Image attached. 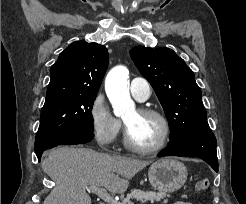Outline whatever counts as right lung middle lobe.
Returning <instances> with one entry per match:
<instances>
[{
  "label": "right lung middle lobe",
  "mask_w": 246,
  "mask_h": 204,
  "mask_svg": "<svg viewBox=\"0 0 246 204\" xmlns=\"http://www.w3.org/2000/svg\"><path fill=\"white\" fill-rule=\"evenodd\" d=\"M95 94L66 95L45 101L35 140V152L60 145L78 131L93 132Z\"/></svg>",
  "instance_id": "right-lung-middle-lobe-1"
}]
</instances>
